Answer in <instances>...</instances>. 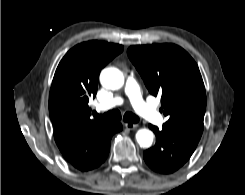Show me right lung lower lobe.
Wrapping results in <instances>:
<instances>
[{"label": "right lung lower lobe", "instance_id": "98d812e1", "mask_svg": "<svg viewBox=\"0 0 245 195\" xmlns=\"http://www.w3.org/2000/svg\"><path fill=\"white\" fill-rule=\"evenodd\" d=\"M122 125L119 122L111 123L100 135L97 139V146H98V157L97 161L94 165V168L100 166L105 159L107 158L110 150V142L112 135L115 132H119L122 130ZM91 170V169H90Z\"/></svg>", "mask_w": 245, "mask_h": 195}]
</instances>
